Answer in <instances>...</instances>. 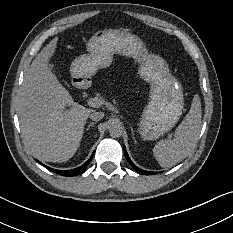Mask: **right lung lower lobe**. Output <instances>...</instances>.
<instances>
[{
  "label": "right lung lower lobe",
  "instance_id": "98d812e1",
  "mask_svg": "<svg viewBox=\"0 0 233 233\" xmlns=\"http://www.w3.org/2000/svg\"><path fill=\"white\" fill-rule=\"evenodd\" d=\"M93 156V155H92ZM92 156L89 158V160L84 163L82 166L78 167V168H75L73 170H56V169H52L44 164H42L44 167H46L47 169L57 173V174H60V175H63V176H75V175H78L80 173H83L87 167V165L90 163L91 159H92Z\"/></svg>",
  "mask_w": 233,
  "mask_h": 233
}]
</instances>
